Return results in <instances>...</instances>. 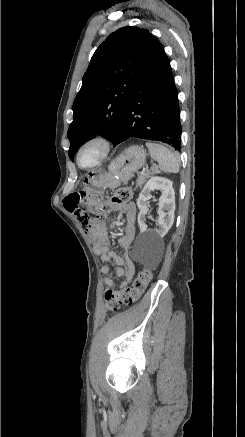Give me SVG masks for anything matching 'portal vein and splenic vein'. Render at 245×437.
I'll return each instance as SVG.
<instances>
[{"mask_svg":"<svg viewBox=\"0 0 245 437\" xmlns=\"http://www.w3.org/2000/svg\"><path fill=\"white\" fill-rule=\"evenodd\" d=\"M141 174H144V170H142Z\"/></svg>","mask_w":245,"mask_h":437,"instance_id":"obj_1","label":"portal vein and splenic vein"}]
</instances>
